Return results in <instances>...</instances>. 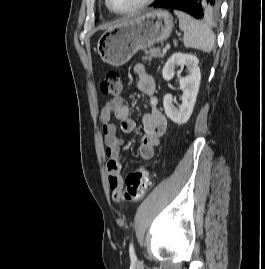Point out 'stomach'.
<instances>
[{
  "label": "stomach",
  "instance_id": "1",
  "mask_svg": "<svg viewBox=\"0 0 265 269\" xmlns=\"http://www.w3.org/2000/svg\"><path fill=\"white\" fill-rule=\"evenodd\" d=\"M173 26V17L168 11L153 10L107 29L98 40L97 51L106 63L122 66L137 51L166 40Z\"/></svg>",
  "mask_w": 265,
  "mask_h": 269
}]
</instances>
